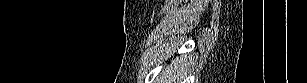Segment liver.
Here are the masks:
<instances>
[{
    "label": "liver",
    "mask_w": 307,
    "mask_h": 83,
    "mask_svg": "<svg viewBox=\"0 0 307 83\" xmlns=\"http://www.w3.org/2000/svg\"><path fill=\"white\" fill-rule=\"evenodd\" d=\"M173 52H175L174 49L167 50L166 55H163L162 58L167 59ZM186 67L187 62L183 57L174 59L163 72L161 80L163 82L161 83H182L181 81L185 75Z\"/></svg>",
    "instance_id": "obj_1"
}]
</instances>
